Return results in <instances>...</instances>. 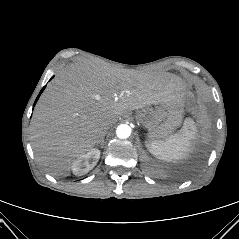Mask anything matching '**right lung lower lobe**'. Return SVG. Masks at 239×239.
Wrapping results in <instances>:
<instances>
[{"label":"right lung lower lobe","mask_w":239,"mask_h":239,"mask_svg":"<svg viewBox=\"0 0 239 239\" xmlns=\"http://www.w3.org/2000/svg\"><path fill=\"white\" fill-rule=\"evenodd\" d=\"M44 89H45V87H43V89L41 90L40 94L42 93V91H43ZM40 94L38 95V97H37V99H36L35 103L37 102V100H38V98H39Z\"/></svg>","instance_id":"98d812e1"}]
</instances>
